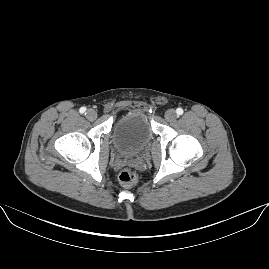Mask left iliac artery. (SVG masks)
I'll list each match as a JSON object with an SVG mask.
<instances>
[{
    "label": "left iliac artery",
    "mask_w": 269,
    "mask_h": 269,
    "mask_svg": "<svg viewBox=\"0 0 269 269\" xmlns=\"http://www.w3.org/2000/svg\"><path fill=\"white\" fill-rule=\"evenodd\" d=\"M176 113H177V115H182L183 114V109L182 108H177Z\"/></svg>",
    "instance_id": "left-iliac-artery-1"
}]
</instances>
